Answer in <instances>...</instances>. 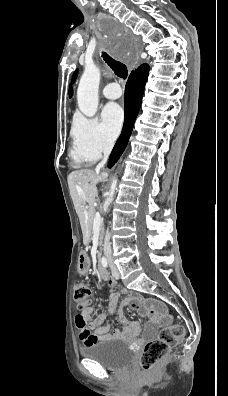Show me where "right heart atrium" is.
<instances>
[{
    "label": "right heart atrium",
    "instance_id": "obj_1",
    "mask_svg": "<svg viewBox=\"0 0 228 396\" xmlns=\"http://www.w3.org/2000/svg\"><path fill=\"white\" fill-rule=\"evenodd\" d=\"M72 136L74 154L80 160L96 161L111 150L113 143L104 133L95 118L79 116L76 118Z\"/></svg>",
    "mask_w": 228,
    "mask_h": 396
}]
</instances>
